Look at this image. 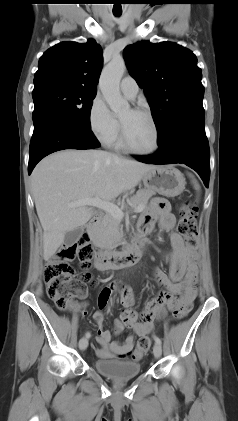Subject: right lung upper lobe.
Here are the masks:
<instances>
[{"label": "right lung upper lobe", "mask_w": 238, "mask_h": 421, "mask_svg": "<svg viewBox=\"0 0 238 421\" xmlns=\"http://www.w3.org/2000/svg\"><path fill=\"white\" fill-rule=\"evenodd\" d=\"M102 63V48L93 39L84 44L61 42L39 59L34 87L55 83L97 91Z\"/></svg>", "instance_id": "1"}]
</instances>
